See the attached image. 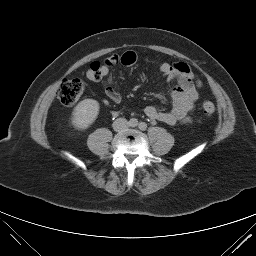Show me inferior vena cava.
Here are the masks:
<instances>
[{
	"label": "inferior vena cava",
	"instance_id": "1",
	"mask_svg": "<svg viewBox=\"0 0 256 256\" xmlns=\"http://www.w3.org/2000/svg\"><path fill=\"white\" fill-rule=\"evenodd\" d=\"M112 126L115 131L123 132L128 129V121L125 118H117Z\"/></svg>",
	"mask_w": 256,
	"mask_h": 256
}]
</instances>
